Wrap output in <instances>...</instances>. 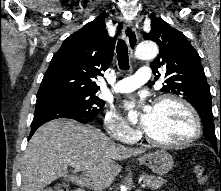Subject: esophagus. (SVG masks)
I'll return each mask as SVG.
<instances>
[{"instance_id": "esophagus-1", "label": "esophagus", "mask_w": 221, "mask_h": 191, "mask_svg": "<svg viewBox=\"0 0 221 191\" xmlns=\"http://www.w3.org/2000/svg\"><path fill=\"white\" fill-rule=\"evenodd\" d=\"M123 37L130 46L131 51L134 50L136 44L138 43L137 31L131 21L125 23L123 27Z\"/></svg>"}]
</instances>
